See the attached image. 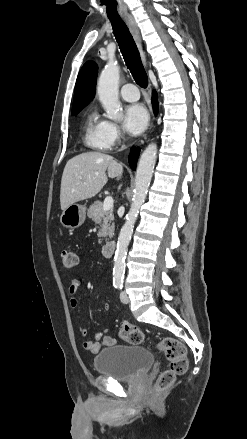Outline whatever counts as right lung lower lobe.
I'll return each instance as SVG.
<instances>
[{"label":"right lung lower lobe","instance_id":"1","mask_svg":"<svg viewBox=\"0 0 247 439\" xmlns=\"http://www.w3.org/2000/svg\"><path fill=\"white\" fill-rule=\"evenodd\" d=\"M156 95H157V93L155 92L153 94V98H152L153 110H154L155 114H157V112H158V101H157ZM138 155H139V150H136V151H132L130 156H129V164L133 170H135Z\"/></svg>","mask_w":247,"mask_h":439}]
</instances>
